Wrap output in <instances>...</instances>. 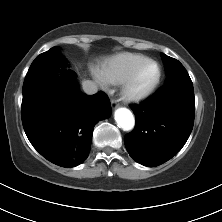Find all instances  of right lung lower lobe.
<instances>
[{
	"instance_id": "right-lung-lower-lobe-1",
	"label": "right lung lower lobe",
	"mask_w": 222,
	"mask_h": 222,
	"mask_svg": "<svg viewBox=\"0 0 222 222\" xmlns=\"http://www.w3.org/2000/svg\"><path fill=\"white\" fill-rule=\"evenodd\" d=\"M110 114V101L103 92L87 96L76 83L35 91L23 97L21 107L23 127L33 147L62 167H75L88 157L95 124Z\"/></svg>"
}]
</instances>
